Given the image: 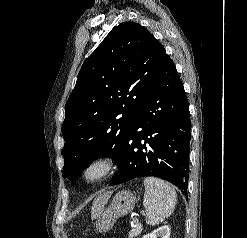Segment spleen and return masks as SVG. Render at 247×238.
<instances>
[{
    "mask_svg": "<svg viewBox=\"0 0 247 238\" xmlns=\"http://www.w3.org/2000/svg\"><path fill=\"white\" fill-rule=\"evenodd\" d=\"M144 186L143 205L146 209V223L155 226L173 212L177 202L176 192L169 183L155 177H146Z\"/></svg>",
    "mask_w": 247,
    "mask_h": 238,
    "instance_id": "1",
    "label": "spleen"
}]
</instances>
